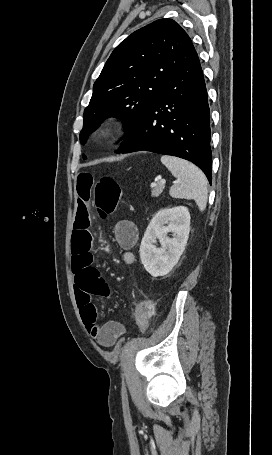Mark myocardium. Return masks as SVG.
Here are the masks:
<instances>
[{
	"mask_svg": "<svg viewBox=\"0 0 272 455\" xmlns=\"http://www.w3.org/2000/svg\"><path fill=\"white\" fill-rule=\"evenodd\" d=\"M121 129L120 123L117 121H107L100 125L96 131L95 136L101 141L109 140L115 137Z\"/></svg>",
	"mask_w": 272,
	"mask_h": 455,
	"instance_id": "1",
	"label": "myocardium"
}]
</instances>
